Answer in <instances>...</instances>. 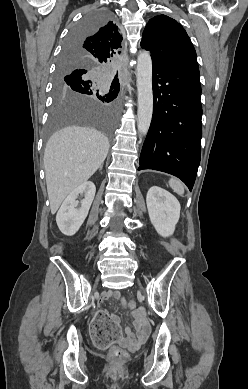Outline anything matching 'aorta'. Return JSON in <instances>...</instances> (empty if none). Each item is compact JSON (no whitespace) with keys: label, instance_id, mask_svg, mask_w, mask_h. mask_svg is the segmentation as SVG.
I'll return each mask as SVG.
<instances>
[{"label":"aorta","instance_id":"obj_1","mask_svg":"<svg viewBox=\"0 0 248 389\" xmlns=\"http://www.w3.org/2000/svg\"><path fill=\"white\" fill-rule=\"evenodd\" d=\"M137 90V128L140 134L146 135L153 113L152 60L147 51L140 52L137 58Z\"/></svg>","mask_w":248,"mask_h":389}]
</instances>
